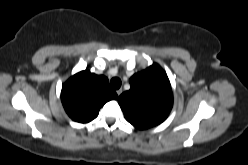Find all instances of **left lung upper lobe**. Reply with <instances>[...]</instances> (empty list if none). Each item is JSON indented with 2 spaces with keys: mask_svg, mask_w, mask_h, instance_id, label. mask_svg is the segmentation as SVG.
<instances>
[{
  "mask_svg": "<svg viewBox=\"0 0 248 165\" xmlns=\"http://www.w3.org/2000/svg\"><path fill=\"white\" fill-rule=\"evenodd\" d=\"M130 90L118 98L128 122L147 129L163 122L173 105V94L165 71L156 63L130 78Z\"/></svg>",
  "mask_w": 248,
  "mask_h": 165,
  "instance_id": "1",
  "label": "left lung upper lobe"
}]
</instances>
